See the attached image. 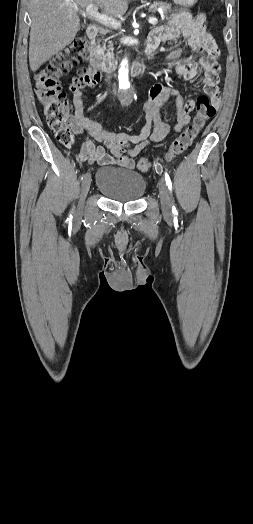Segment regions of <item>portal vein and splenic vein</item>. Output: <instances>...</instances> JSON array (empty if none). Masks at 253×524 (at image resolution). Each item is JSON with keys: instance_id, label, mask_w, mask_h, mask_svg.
<instances>
[{"instance_id": "portal-vein-and-splenic-vein-1", "label": "portal vein and splenic vein", "mask_w": 253, "mask_h": 524, "mask_svg": "<svg viewBox=\"0 0 253 524\" xmlns=\"http://www.w3.org/2000/svg\"><path fill=\"white\" fill-rule=\"evenodd\" d=\"M83 13H85L89 17L94 18L95 20H97L98 22L106 26H111L114 28H118L121 26V23L117 21L116 19H114L113 17L99 13L98 7L95 6L94 4H89ZM148 22L152 25H156L158 23V19L155 17H150L148 19Z\"/></svg>"}]
</instances>
